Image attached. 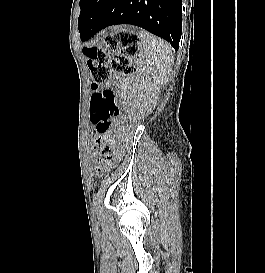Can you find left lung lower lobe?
I'll return each mask as SVG.
<instances>
[{"label":"left lung lower lobe","instance_id":"0a47b994","mask_svg":"<svg viewBox=\"0 0 265 273\" xmlns=\"http://www.w3.org/2000/svg\"><path fill=\"white\" fill-rule=\"evenodd\" d=\"M123 23L142 27L177 50L182 34L181 0H93L79 27L81 40Z\"/></svg>","mask_w":265,"mask_h":273}]
</instances>
